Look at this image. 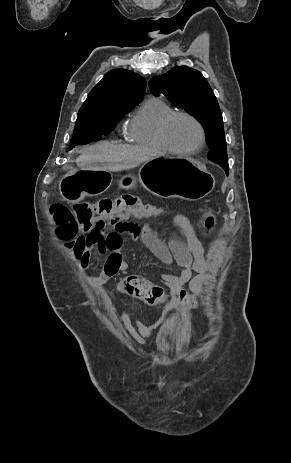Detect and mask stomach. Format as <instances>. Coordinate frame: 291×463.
Returning <instances> with one entry per match:
<instances>
[{
  "label": "stomach",
  "instance_id": "1",
  "mask_svg": "<svg viewBox=\"0 0 291 463\" xmlns=\"http://www.w3.org/2000/svg\"><path fill=\"white\" fill-rule=\"evenodd\" d=\"M140 182L154 195L188 201L204 198L215 186L213 175L191 158L158 156L140 169ZM107 171L81 169L64 176L59 191L64 200L79 202L85 195H99L109 189Z\"/></svg>",
  "mask_w": 291,
  "mask_h": 463
}]
</instances>
